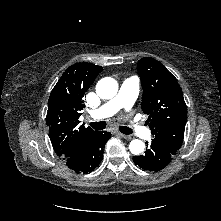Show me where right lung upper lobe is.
<instances>
[{"label":"right lung upper lobe","instance_id":"1","mask_svg":"<svg viewBox=\"0 0 221 221\" xmlns=\"http://www.w3.org/2000/svg\"><path fill=\"white\" fill-rule=\"evenodd\" d=\"M103 68L76 63L62 74L48 101L46 124L54 151L62 159L83 155L96 131L79 124L83 96Z\"/></svg>","mask_w":221,"mask_h":221}]
</instances>
